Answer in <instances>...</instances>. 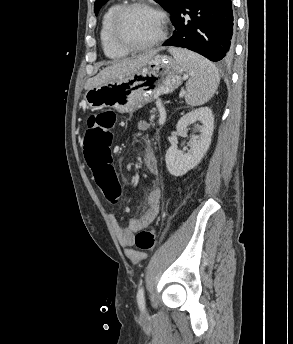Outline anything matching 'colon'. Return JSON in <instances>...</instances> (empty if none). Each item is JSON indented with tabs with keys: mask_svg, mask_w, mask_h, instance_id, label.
<instances>
[{
	"mask_svg": "<svg viewBox=\"0 0 293 344\" xmlns=\"http://www.w3.org/2000/svg\"><path fill=\"white\" fill-rule=\"evenodd\" d=\"M116 120V114L109 110L89 115L83 142L86 162L96 183L111 203H115L121 194L119 182L112 169L111 146ZM134 242L139 251L153 250L157 242L155 231H138Z\"/></svg>",
	"mask_w": 293,
	"mask_h": 344,
	"instance_id": "5ec220e1",
	"label": "colon"
}]
</instances>
